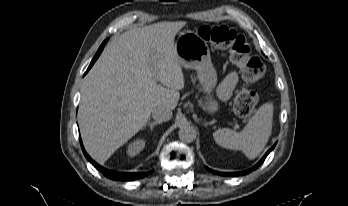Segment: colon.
Returning a JSON list of instances; mask_svg holds the SVG:
<instances>
[{
  "label": "colon",
  "instance_id": "colon-1",
  "mask_svg": "<svg viewBox=\"0 0 348 206\" xmlns=\"http://www.w3.org/2000/svg\"><path fill=\"white\" fill-rule=\"evenodd\" d=\"M198 35L202 40L213 43L229 53L231 60L238 65L243 81L248 85L258 83L265 67L260 57L252 53L245 36L227 26H201ZM257 105V95L249 88L239 87L234 93L233 108L239 117H249Z\"/></svg>",
  "mask_w": 348,
  "mask_h": 206
}]
</instances>
